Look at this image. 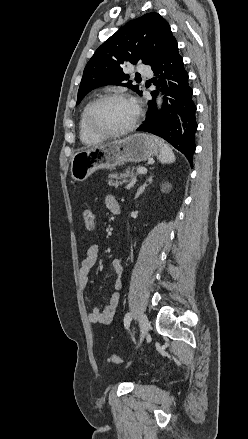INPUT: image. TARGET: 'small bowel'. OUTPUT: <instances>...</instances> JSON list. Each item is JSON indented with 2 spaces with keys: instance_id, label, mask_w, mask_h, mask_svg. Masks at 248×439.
<instances>
[{
  "instance_id": "1",
  "label": "small bowel",
  "mask_w": 248,
  "mask_h": 439,
  "mask_svg": "<svg viewBox=\"0 0 248 439\" xmlns=\"http://www.w3.org/2000/svg\"><path fill=\"white\" fill-rule=\"evenodd\" d=\"M106 207L113 213L119 211V203L115 196L109 195L105 200ZM99 256L98 244H91L87 249L86 255L81 262V266L78 273L79 285L82 290H85L89 282V274L94 267ZM110 269L116 274L117 279L115 282V290L110 294L108 301L105 305H98L94 307L89 315L88 319L92 324L107 325L111 323L116 312V308L119 302V290L121 289V276L123 273L122 259L114 258L110 261Z\"/></svg>"
}]
</instances>
